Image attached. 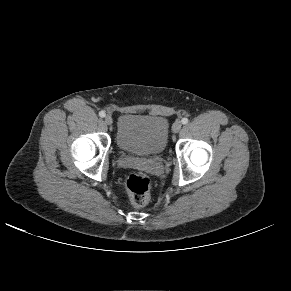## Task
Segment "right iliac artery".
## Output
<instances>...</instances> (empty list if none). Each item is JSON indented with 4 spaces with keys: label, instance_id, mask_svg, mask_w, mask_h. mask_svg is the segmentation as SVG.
Listing matches in <instances>:
<instances>
[{
    "label": "right iliac artery",
    "instance_id": "82829eb1",
    "mask_svg": "<svg viewBox=\"0 0 291 291\" xmlns=\"http://www.w3.org/2000/svg\"><path fill=\"white\" fill-rule=\"evenodd\" d=\"M105 115H106V114H105V112H104V111H100V112H99V116H100V117H102V118H103V117H105Z\"/></svg>",
    "mask_w": 291,
    "mask_h": 291
}]
</instances>
